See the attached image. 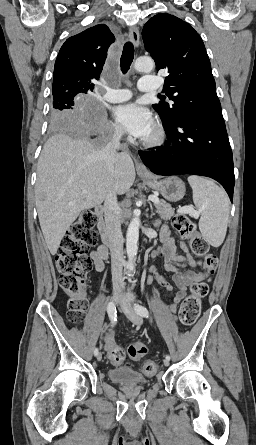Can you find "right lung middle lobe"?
<instances>
[{"label": "right lung middle lobe", "instance_id": "dd1d6c3e", "mask_svg": "<svg viewBox=\"0 0 256 445\" xmlns=\"http://www.w3.org/2000/svg\"><path fill=\"white\" fill-rule=\"evenodd\" d=\"M83 94L85 93L74 91L53 94V108L51 110V127L53 129L71 127L79 121Z\"/></svg>", "mask_w": 256, "mask_h": 445}]
</instances>
